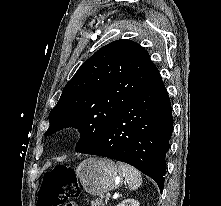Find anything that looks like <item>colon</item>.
<instances>
[{
  "label": "colon",
  "mask_w": 221,
  "mask_h": 206,
  "mask_svg": "<svg viewBox=\"0 0 221 206\" xmlns=\"http://www.w3.org/2000/svg\"><path fill=\"white\" fill-rule=\"evenodd\" d=\"M77 193L78 183L74 170L67 166H58L47 174L40 191L38 205L62 206Z\"/></svg>",
  "instance_id": "obj_1"
}]
</instances>
